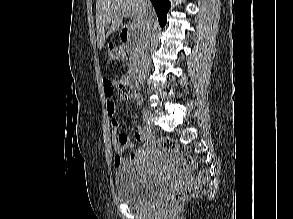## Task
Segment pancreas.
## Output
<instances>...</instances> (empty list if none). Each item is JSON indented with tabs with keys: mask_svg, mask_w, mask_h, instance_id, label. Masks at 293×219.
Segmentation results:
<instances>
[{
	"mask_svg": "<svg viewBox=\"0 0 293 219\" xmlns=\"http://www.w3.org/2000/svg\"><path fill=\"white\" fill-rule=\"evenodd\" d=\"M131 52L134 54V48H132ZM134 55H131V58L133 59Z\"/></svg>",
	"mask_w": 293,
	"mask_h": 219,
	"instance_id": "obj_1",
	"label": "pancreas"
}]
</instances>
